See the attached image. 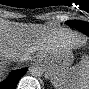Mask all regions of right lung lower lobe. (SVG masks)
Masks as SVG:
<instances>
[{"mask_svg": "<svg viewBox=\"0 0 89 89\" xmlns=\"http://www.w3.org/2000/svg\"><path fill=\"white\" fill-rule=\"evenodd\" d=\"M27 68L12 71L8 78L1 85L7 89H14L17 86L18 80L26 73Z\"/></svg>", "mask_w": 89, "mask_h": 89, "instance_id": "right-lung-lower-lobe-1", "label": "right lung lower lobe"}]
</instances>
